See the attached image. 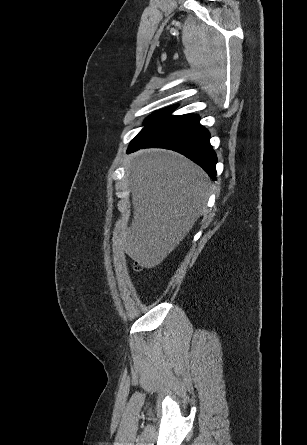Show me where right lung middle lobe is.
I'll use <instances>...</instances> for the list:
<instances>
[{"label": "right lung middle lobe", "mask_w": 307, "mask_h": 445, "mask_svg": "<svg viewBox=\"0 0 307 445\" xmlns=\"http://www.w3.org/2000/svg\"><path fill=\"white\" fill-rule=\"evenodd\" d=\"M176 108V106H172V107H168L159 111H156L155 113H153L152 115H150L146 120H145V126L147 127L148 125L154 123L155 121L159 120L160 118L166 116L167 114H169L170 112H172L174 109Z\"/></svg>", "instance_id": "obj_1"}]
</instances>
